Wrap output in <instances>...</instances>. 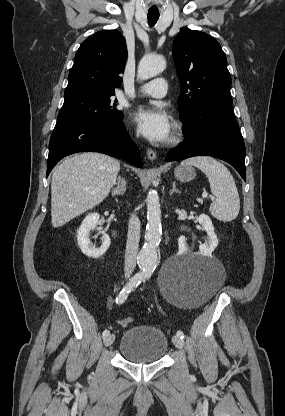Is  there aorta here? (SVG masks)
<instances>
[{"label":"aorta","mask_w":285,"mask_h":416,"mask_svg":"<svg viewBox=\"0 0 285 416\" xmlns=\"http://www.w3.org/2000/svg\"><path fill=\"white\" fill-rule=\"evenodd\" d=\"M166 67L165 60L156 55L144 56L138 65L137 76L141 80H147L159 75ZM147 226L145 243L137 257V263L142 275L150 277L158 265V245L161 241V210L158 193L150 190L147 198Z\"/></svg>","instance_id":"762f6f07"}]
</instances>
